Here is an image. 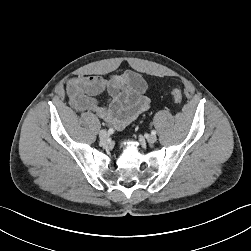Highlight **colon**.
<instances>
[{
    "label": "colon",
    "instance_id": "5ec220e1",
    "mask_svg": "<svg viewBox=\"0 0 251 251\" xmlns=\"http://www.w3.org/2000/svg\"><path fill=\"white\" fill-rule=\"evenodd\" d=\"M171 96L174 99V101L178 104H180L183 100L182 92L177 88L171 90Z\"/></svg>",
    "mask_w": 251,
    "mask_h": 251
}]
</instances>
